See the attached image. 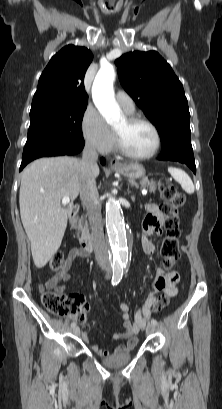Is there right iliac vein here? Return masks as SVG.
Instances as JSON below:
<instances>
[{
  "label": "right iliac vein",
  "instance_id": "right-iliac-vein-1",
  "mask_svg": "<svg viewBox=\"0 0 222 409\" xmlns=\"http://www.w3.org/2000/svg\"><path fill=\"white\" fill-rule=\"evenodd\" d=\"M73 333L75 334V335H79L80 334V328L79 327H74V329H73Z\"/></svg>",
  "mask_w": 222,
  "mask_h": 409
}]
</instances>
